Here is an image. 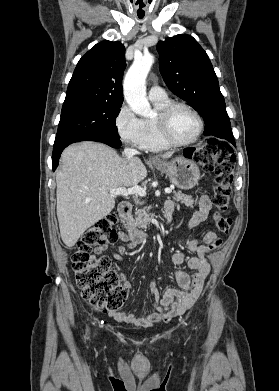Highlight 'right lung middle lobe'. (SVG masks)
Listing matches in <instances>:
<instances>
[{"label": "right lung middle lobe", "instance_id": "right-lung-middle-lobe-1", "mask_svg": "<svg viewBox=\"0 0 279 391\" xmlns=\"http://www.w3.org/2000/svg\"><path fill=\"white\" fill-rule=\"evenodd\" d=\"M121 105L95 103L62 109L54 145L103 131L118 133L116 117Z\"/></svg>", "mask_w": 279, "mask_h": 391}]
</instances>
